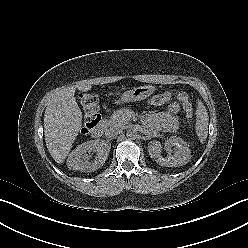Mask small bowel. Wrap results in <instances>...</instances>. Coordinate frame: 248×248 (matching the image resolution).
Masks as SVG:
<instances>
[{
  "instance_id": "obj_1",
  "label": "small bowel",
  "mask_w": 248,
  "mask_h": 248,
  "mask_svg": "<svg viewBox=\"0 0 248 248\" xmlns=\"http://www.w3.org/2000/svg\"><path fill=\"white\" fill-rule=\"evenodd\" d=\"M179 111V105L172 103L167 107V110L160 115V117L154 121L155 125L171 131L174 128L173 116Z\"/></svg>"
}]
</instances>
